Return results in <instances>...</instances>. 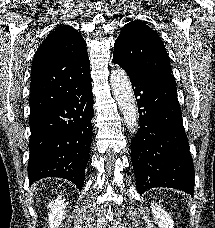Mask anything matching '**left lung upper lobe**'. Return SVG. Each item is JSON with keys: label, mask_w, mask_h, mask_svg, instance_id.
<instances>
[{"label": "left lung upper lobe", "mask_w": 215, "mask_h": 228, "mask_svg": "<svg viewBox=\"0 0 215 228\" xmlns=\"http://www.w3.org/2000/svg\"><path fill=\"white\" fill-rule=\"evenodd\" d=\"M113 61L131 74L172 75L159 35L140 20L131 21L122 29L115 41Z\"/></svg>", "instance_id": "left-lung-upper-lobe-1"}]
</instances>
